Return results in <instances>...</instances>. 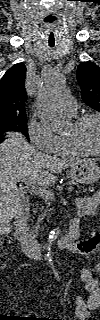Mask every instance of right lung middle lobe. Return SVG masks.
I'll use <instances>...</instances> for the list:
<instances>
[{
	"label": "right lung middle lobe",
	"instance_id": "right-lung-middle-lobe-1",
	"mask_svg": "<svg viewBox=\"0 0 100 320\" xmlns=\"http://www.w3.org/2000/svg\"><path fill=\"white\" fill-rule=\"evenodd\" d=\"M27 119L26 116L14 117L9 119L0 120V135L1 138L4 137L2 134L5 132H21L28 137V129L26 127ZM4 139H0L3 141ZM29 140V139H28Z\"/></svg>",
	"mask_w": 100,
	"mask_h": 320
}]
</instances>
